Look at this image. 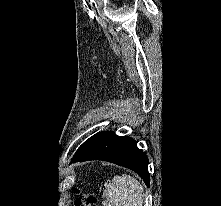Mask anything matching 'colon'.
Here are the masks:
<instances>
[{
  "label": "colon",
  "mask_w": 221,
  "mask_h": 206,
  "mask_svg": "<svg viewBox=\"0 0 221 206\" xmlns=\"http://www.w3.org/2000/svg\"><path fill=\"white\" fill-rule=\"evenodd\" d=\"M95 205H96V198L92 195L79 194L75 201V206H95Z\"/></svg>",
  "instance_id": "obj_1"
}]
</instances>
